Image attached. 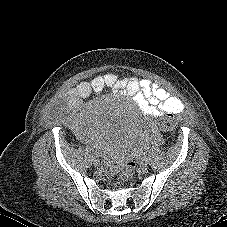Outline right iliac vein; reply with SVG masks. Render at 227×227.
Masks as SVG:
<instances>
[{
  "label": "right iliac vein",
  "instance_id": "63e3f726",
  "mask_svg": "<svg viewBox=\"0 0 227 227\" xmlns=\"http://www.w3.org/2000/svg\"><path fill=\"white\" fill-rule=\"evenodd\" d=\"M91 161L94 166H97L99 164V161L96 157H92Z\"/></svg>",
  "mask_w": 227,
  "mask_h": 227
}]
</instances>
